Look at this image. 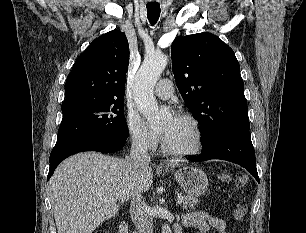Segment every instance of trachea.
<instances>
[{
    "label": "trachea",
    "instance_id": "3493384b",
    "mask_svg": "<svg viewBox=\"0 0 306 233\" xmlns=\"http://www.w3.org/2000/svg\"><path fill=\"white\" fill-rule=\"evenodd\" d=\"M160 16L159 4H147V17L151 25L157 23Z\"/></svg>",
    "mask_w": 306,
    "mask_h": 233
}]
</instances>
